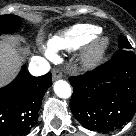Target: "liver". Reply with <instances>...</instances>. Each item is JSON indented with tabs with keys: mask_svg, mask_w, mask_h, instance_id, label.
I'll return each instance as SVG.
<instances>
[{
	"mask_svg": "<svg viewBox=\"0 0 136 136\" xmlns=\"http://www.w3.org/2000/svg\"><path fill=\"white\" fill-rule=\"evenodd\" d=\"M11 37L0 39V87L9 83L16 75L21 64L22 54L28 53Z\"/></svg>",
	"mask_w": 136,
	"mask_h": 136,
	"instance_id": "6515ba94",
	"label": "liver"
}]
</instances>
